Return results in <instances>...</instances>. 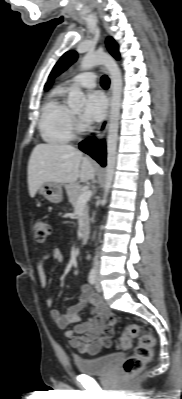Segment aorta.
<instances>
[{"mask_svg":"<svg viewBox=\"0 0 182 399\" xmlns=\"http://www.w3.org/2000/svg\"><path fill=\"white\" fill-rule=\"evenodd\" d=\"M104 65L109 72L111 78V109L109 116L108 136H107V166L103 203L107 202V196L112 185L118 141V128L122 97V75L116 61L107 53L97 51L95 53L86 54L80 64V70H89L94 66ZM85 101L84 93L81 88L74 84L68 95V105L73 109H80Z\"/></svg>","mask_w":182,"mask_h":399,"instance_id":"1","label":"aorta"}]
</instances>
